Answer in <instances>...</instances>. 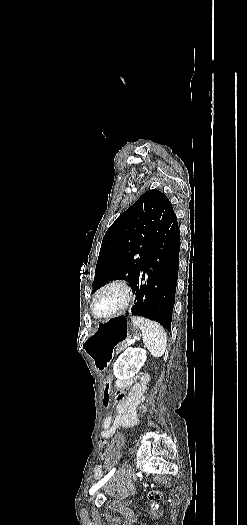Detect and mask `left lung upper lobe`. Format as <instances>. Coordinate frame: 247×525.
I'll use <instances>...</instances> for the list:
<instances>
[{"label":"left lung upper lobe","instance_id":"1","mask_svg":"<svg viewBox=\"0 0 247 525\" xmlns=\"http://www.w3.org/2000/svg\"><path fill=\"white\" fill-rule=\"evenodd\" d=\"M174 215L169 199L148 190L106 231L95 270L93 292L111 280L134 282L149 252L151 241Z\"/></svg>","mask_w":247,"mask_h":525}]
</instances>
